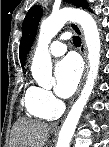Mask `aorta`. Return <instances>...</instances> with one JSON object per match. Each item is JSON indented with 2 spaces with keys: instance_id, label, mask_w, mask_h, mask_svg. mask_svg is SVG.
<instances>
[{
  "instance_id": "obj_1",
  "label": "aorta",
  "mask_w": 109,
  "mask_h": 147,
  "mask_svg": "<svg viewBox=\"0 0 109 147\" xmlns=\"http://www.w3.org/2000/svg\"><path fill=\"white\" fill-rule=\"evenodd\" d=\"M67 21L77 22L83 29L88 49L89 74L79 98L72 106L62 125L57 147H69L82 111L92 93L100 63V37L93 17L82 9L63 8L56 13H52L41 23L38 44L31 66L33 78L43 87L52 84V63L48 48L52 38Z\"/></svg>"
}]
</instances>
